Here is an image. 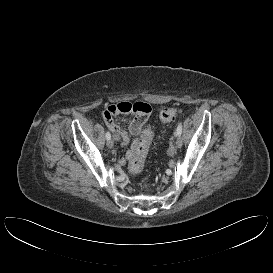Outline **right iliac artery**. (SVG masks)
<instances>
[{"label": "right iliac artery", "mask_w": 273, "mask_h": 273, "mask_svg": "<svg viewBox=\"0 0 273 273\" xmlns=\"http://www.w3.org/2000/svg\"><path fill=\"white\" fill-rule=\"evenodd\" d=\"M111 138V134L109 132H106V139L109 140Z\"/></svg>", "instance_id": "1"}]
</instances>
